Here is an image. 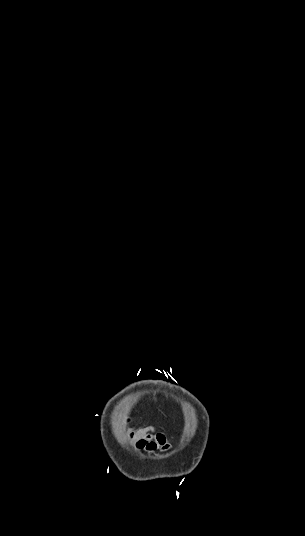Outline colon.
I'll use <instances>...</instances> for the list:
<instances>
[{
  "label": "colon",
  "instance_id": "1",
  "mask_svg": "<svg viewBox=\"0 0 305 536\" xmlns=\"http://www.w3.org/2000/svg\"><path fill=\"white\" fill-rule=\"evenodd\" d=\"M124 423H125L126 425H130V424L132 423V420H131L130 418H126V419L124 420Z\"/></svg>",
  "mask_w": 305,
  "mask_h": 536
}]
</instances>
